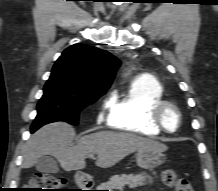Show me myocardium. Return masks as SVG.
I'll use <instances>...</instances> for the list:
<instances>
[{"label": "myocardium", "instance_id": "1", "mask_svg": "<svg viewBox=\"0 0 218 191\" xmlns=\"http://www.w3.org/2000/svg\"><path fill=\"white\" fill-rule=\"evenodd\" d=\"M168 108H172L176 111L177 113V116H178V125L177 127L174 129V130H169L165 125H164V122H163V114L165 112L166 109ZM151 120H152V123L162 132H165V133H168V134H173V133H176L177 131L180 130L181 126H182V123H183V115H182V112L180 110V108L170 102V101H162L160 103H158L153 111H152V114H151Z\"/></svg>", "mask_w": 218, "mask_h": 191}]
</instances>
